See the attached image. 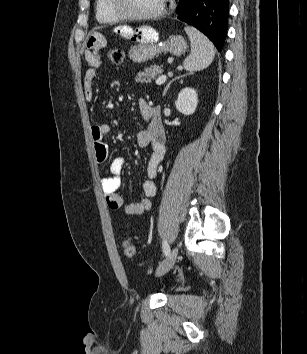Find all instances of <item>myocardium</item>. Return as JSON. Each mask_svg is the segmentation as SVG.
Masks as SVG:
<instances>
[{
  "mask_svg": "<svg viewBox=\"0 0 307 354\" xmlns=\"http://www.w3.org/2000/svg\"><path fill=\"white\" fill-rule=\"evenodd\" d=\"M168 0H163L159 9L151 13L135 14L126 11L122 6V0H109V7L112 13L120 20H153L160 18L166 11Z\"/></svg>",
  "mask_w": 307,
  "mask_h": 354,
  "instance_id": "myocardium-1",
  "label": "myocardium"
}]
</instances>
